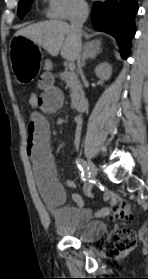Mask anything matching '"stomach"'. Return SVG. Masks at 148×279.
Returning a JSON list of instances; mask_svg holds the SVG:
<instances>
[{
  "label": "stomach",
  "mask_w": 148,
  "mask_h": 279,
  "mask_svg": "<svg viewBox=\"0 0 148 279\" xmlns=\"http://www.w3.org/2000/svg\"><path fill=\"white\" fill-rule=\"evenodd\" d=\"M11 67L17 81L21 83L31 81L44 63V55L39 45L32 40L18 35L12 40ZM50 62L46 61L45 67H50Z\"/></svg>",
  "instance_id": "1"
}]
</instances>
